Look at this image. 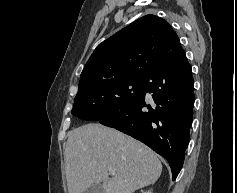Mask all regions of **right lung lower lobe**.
Masks as SVG:
<instances>
[{"mask_svg":"<svg viewBox=\"0 0 237 193\" xmlns=\"http://www.w3.org/2000/svg\"><path fill=\"white\" fill-rule=\"evenodd\" d=\"M194 81L183 49L144 77L139 95L116 113L98 120L143 142L163 156L173 180L180 172L193 118ZM146 93L153 101L149 104Z\"/></svg>","mask_w":237,"mask_h":193,"instance_id":"obj_1","label":"right lung lower lobe"}]
</instances>
